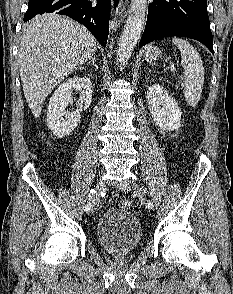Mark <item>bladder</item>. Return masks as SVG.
Segmentation results:
<instances>
[{
	"label": "bladder",
	"instance_id": "31cf9c89",
	"mask_svg": "<svg viewBox=\"0 0 233 294\" xmlns=\"http://www.w3.org/2000/svg\"><path fill=\"white\" fill-rule=\"evenodd\" d=\"M95 238L102 249L124 255L134 251L142 240L138 219L128 210L106 211L95 228Z\"/></svg>",
	"mask_w": 233,
	"mask_h": 294
}]
</instances>
